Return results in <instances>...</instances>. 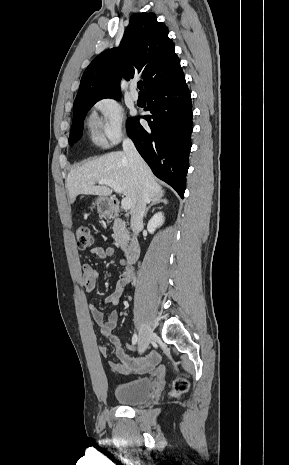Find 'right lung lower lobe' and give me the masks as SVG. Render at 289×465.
<instances>
[{"label":"right lung lower lobe","instance_id":"right-lung-lower-lobe-1","mask_svg":"<svg viewBox=\"0 0 289 465\" xmlns=\"http://www.w3.org/2000/svg\"><path fill=\"white\" fill-rule=\"evenodd\" d=\"M151 112L143 118L149 127L133 118L129 137L153 173L184 197L192 133V104L185 78L146 94Z\"/></svg>","mask_w":289,"mask_h":465}]
</instances>
